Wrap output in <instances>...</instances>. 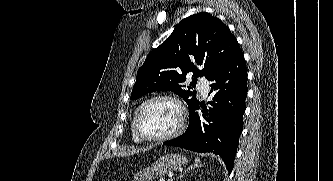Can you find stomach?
I'll list each match as a JSON object with an SVG mask.
<instances>
[{"mask_svg":"<svg viewBox=\"0 0 333 181\" xmlns=\"http://www.w3.org/2000/svg\"><path fill=\"white\" fill-rule=\"evenodd\" d=\"M186 163L187 159L180 154H166L153 164L137 172L134 179L136 181H154L159 177L181 168Z\"/></svg>","mask_w":333,"mask_h":181,"instance_id":"0dacf381","label":"stomach"}]
</instances>
